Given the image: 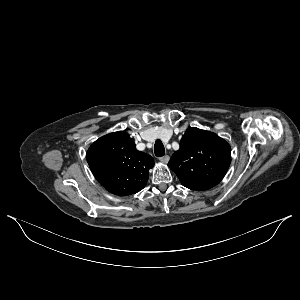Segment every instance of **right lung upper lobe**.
Returning a JSON list of instances; mask_svg holds the SVG:
<instances>
[{
  "mask_svg": "<svg viewBox=\"0 0 300 300\" xmlns=\"http://www.w3.org/2000/svg\"><path fill=\"white\" fill-rule=\"evenodd\" d=\"M89 167L99 183L110 193L128 196L147 183L154 160L136 150L134 141L123 131L110 133L95 141L86 153Z\"/></svg>",
  "mask_w": 300,
  "mask_h": 300,
  "instance_id": "cb5924a9",
  "label": "right lung upper lobe"
}]
</instances>
